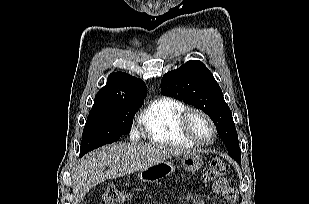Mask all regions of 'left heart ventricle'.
Segmentation results:
<instances>
[{
  "mask_svg": "<svg viewBox=\"0 0 309 204\" xmlns=\"http://www.w3.org/2000/svg\"><path fill=\"white\" fill-rule=\"evenodd\" d=\"M190 127L193 134L201 141H208L212 136L209 124L200 115L194 114L191 117Z\"/></svg>",
  "mask_w": 309,
  "mask_h": 204,
  "instance_id": "left-heart-ventricle-1",
  "label": "left heart ventricle"
}]
</instances>
